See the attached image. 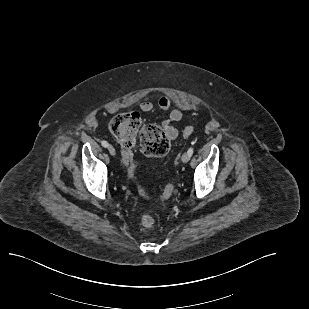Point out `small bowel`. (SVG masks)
<instances>
[{
	"label": "small bowel",
	"mask_w": 309,
	"mask_h": 309,
	"mask_svg": "<svg viewBox=\"0 0 309 309\" xmlns=\"http://www.w3.org/2000/svg\"><path fill=\"white\" fill-rule=\"evenodd\" d=\"M157 106L167 114L166 120L163 122L162 126L163 129L168 137L169 140H174L178 136V130L173 125V123H179L182 121L183 112L178 109L174 108L171 109L172 100L168 96H160L157 100ZM155 108L154 103L151 101L149 97L145 98L142 103L140 104L141 111L145 113L152 112Z\"/></svg>",
	"instance_id": "obj_1"
}]
</instances>
